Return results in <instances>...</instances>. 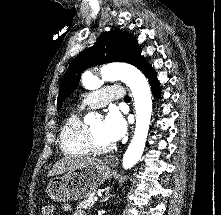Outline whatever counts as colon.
Segmentation results:
<instances>
[{"label": "colon", "mask_w": 221, "mask_h": 215, "mask_svg": "<svg viewBox=\"0 0 221 215\" xmlns=\"http://www.w3.org/2000/svg\"><path fill=\"white\" fill-rule=\"evenodd\" d=\"M42 215H55L56 210L53 205L44 204L41 210Z\"/></svg>", "instance_id": "5ec220e1"}]
</instances>
